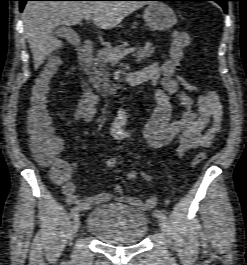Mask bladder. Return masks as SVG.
<instances>
[{
	"mask_svg": "<svg viewBox=\"0 0 247 265\" xmlns=\"http://www.w3.org/2000/svg\"><path fill=\"white\" fill-rule=\"evenodd\" d=\"M87 231L105 244L135 245L147 235V216L134 207L108 202L90 212Z\"/></svg>",
	"mask_w": 247,
	"mask_h": 265,
	"instance_id": "1",
	"label": "bladder"
}]
</instances>
